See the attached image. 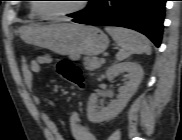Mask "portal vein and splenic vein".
Instances as JSON below:
<instances>
[{"mask_svg": "<svg viewBox=\"0 0 182 140\" xmlns=\"http://www.w3.org/2000/svg\"><path fill=\"white\" fill-rule=\"evenodd\" d=\"M100 60H101V62H103V63L105 62V59H104V58H101Z\"/></svg>", "mask_w": 182, "mask_h": 140, "instance_id": "obj_1", "label": "portal vein and splenic vein"}]
</instances>
